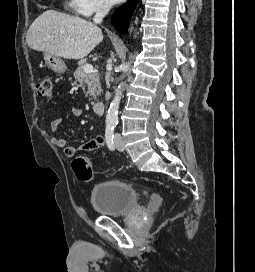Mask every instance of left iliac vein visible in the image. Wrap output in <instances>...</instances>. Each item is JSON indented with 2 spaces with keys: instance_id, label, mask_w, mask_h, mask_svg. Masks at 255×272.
<instances>
[{
  "instance_id": "obj_1",
  "label": "left iliac vein",
  "mask_w": 255,
  "mask_h": 272,
  "mask_svg": "<svg viewBox=\"0 0 255 272\" xmlns=\"http://www.w3.org/2000/svg\"><path fill=\"white\" fill-rule=\"evenodd\" d=\"M115 146L119 151H124V143L120 134L115 135Z\"/></svg>"
}]
</instances>
